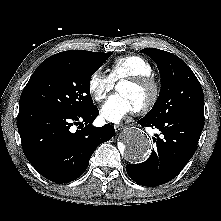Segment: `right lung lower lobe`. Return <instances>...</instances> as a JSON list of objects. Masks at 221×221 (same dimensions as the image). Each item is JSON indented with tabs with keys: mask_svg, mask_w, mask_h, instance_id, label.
I'll return each instance as SVG.
<instances>
[{
	"mask_svg": "<svg viewBox=\"0 0 221 221\" xmlns=\"http://www.w3.org/2000/svg\"><path fill=\"white\" fill-rule=\"evenodd\" d=\"M98 115L96 106L78 115L48 107L20 106L17 125L26 158L53 182L77 179L87 169L97 146L114 134L112 125L92 126ZM73 125L85 127L72 132Z\"/></svg>",
	"mask_w": 221,
	"mask_h": 221,
	"instance_id": "right-lung-lower-lobe-1",
	"label": "right lung lower lobe"
}]
</instances>
